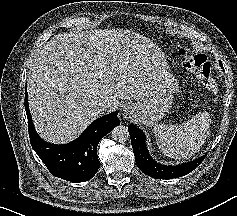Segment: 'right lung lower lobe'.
<instances>
[{
  "mask_svg": "<svg viewBox=\"0 0 237 216\" xmlns=\"http://www.w3.org/2000/svg\"><path fill=\"white\" fill-rule=\"evenodd\" d=\"M25 110L34 151L52 175L71 182H85L97 173L100 167L97 145L106 134L120 124L115 111L92 122L75 141L65 145H54L45 142L35 131L28 108L27 91Z\"/></svg>",
  "mask_w": 237,
  "mask_h": 216,
  "instance_id": "98d812e1",
  "label": "right lung lower lobe"
}]
</instances>
